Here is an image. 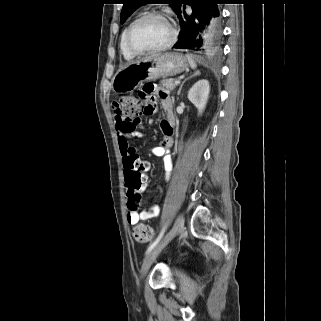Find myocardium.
<instances>
[{"mask_svg": "<svg viewBox=\"0 0 321 321\" xmlns=\"http://www.w3.org/2000/svg\"><path fill=\"white\" fill-rule=\"evenodd\" d=\"M149 17H158L163 19L169 26L170 28V38L168 39V41L156 48H152L149 50H137L135 49L132 45H131V34L134 30V28L144 19L149 18ZM177 37H178V31L176 26L174 25V23L170 20V18L163 12L158 11V10H151V11H147L144 12L143 14H141L139 17H137L128 27L127 31H126V35H125V45L127 50L133 54L134 56H143V55H149V54H154V53H158V52H162L165 51L169 48H171L175 42L177 41Z\"/></svg>", "mask_w": 321, "mask_h": 321, "instance_id": "myocardium-1", "label": "myocardium"}]
</instances>
